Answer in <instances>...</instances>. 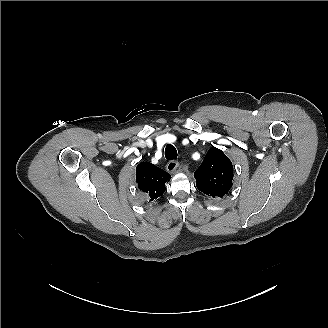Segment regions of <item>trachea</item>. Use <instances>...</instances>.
Masks as SVG:
<instances>
[{"instance_id": "obj_1", "label": "trachea", "mask_w": 328, "mask_h": 328, "mask_svg": "<svg viewBox=\"0 0 328 328\" xmlns=\"http://www.w3.org/2000/svg\"><path fill=\"white\" fill-rule=\"evenodd\" d=\"M165 157L167 160H174L177 158V150L176 148L171 145L168 144L165 148Z\"/></svg>"}]
</instances>
